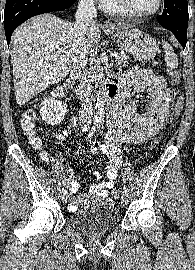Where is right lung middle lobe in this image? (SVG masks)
Returning a JSON list of instances; mask_svg holds the SVG:
<instances>
[{
  "mask_svg": "<svg viewBox=\"0 0 195 270\" xmlns=\"http://www.w3.org/2000/svg\"><path fill=\"white\" fill-rule=\"evenodd\" d=\"M70 5L68 4V0H64L63 3L59 6L60 8H68Z\"/></svg>",
  "mask_w": 195,
  "mask_h": 270,
  "instance_id": "1",
  "label": "right lung middle lobe"
}]
</instances>
